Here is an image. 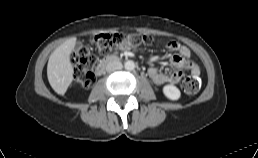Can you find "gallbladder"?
<instances>
[{
  "instance_id": "gallbladder-1",
  "label": "gallbladder",
  "mask_w": 258,
  "mask_h": 158,
  "mask_svg": "<svg viewBox=\"0 0 258 158\" xmlns=\"http://www.w3.org/2000/svg\"><path fill=\"white\" fill-rule=\"evenodd\" d=\"M83 47V44H82V42H77V44H76V49H81Z\"/></svg>"
}]
</instances>
